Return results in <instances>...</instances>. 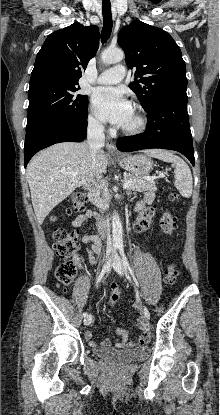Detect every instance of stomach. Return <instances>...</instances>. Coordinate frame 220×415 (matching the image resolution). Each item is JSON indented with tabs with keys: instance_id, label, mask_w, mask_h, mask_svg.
I'll return each mask as SVG.
<instances>
[{
	"instance_id": "obj_1",
	"label": "stomach",
	"mask_w": 220,
	"mask_h": 415,
	"mask_svg": "<svg viewBox=\"0 0 220 415\" xmlns=\"http://www.w3.org/2000/svg\"><path fill=\"white\" fill-rule=\"evenodd\" d=\"M117 160L122 168L136 176L148 175L154 168L152 160L143 154L127 155Z\"/></svg>"
}]
</instances>
